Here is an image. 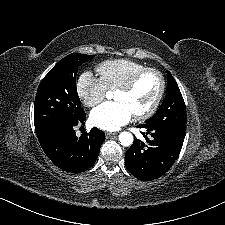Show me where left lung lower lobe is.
Returning <instances> with one entry per match:
<instances>
[{
	"label": "left lung lower lobe",
	"mask_w": 225,
	"mask_h": 225,
	"mask_svg": "<svg viewBox=\"0 0 225 225\" xmlns=\"http://www.w3.org/2000/svg\"><path fill=\"white\" fill-rule=\"evenodd\" d=\"M138 127L145 130L143 135L147 143L136 139L125 154V164L128 171L139 180L151 181L172 167L181 151L185 131L146 123Z\"/></svg>",
	"instance_id": "1"
}]
</instances>
